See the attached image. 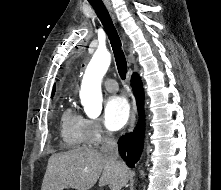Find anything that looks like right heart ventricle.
<instances>
[{
    "label": "right heart ventricle",
    "mask_w": 221,
    "mask_h": 190,
    "mask_svg": "<svg viewBox=\"0 0 221 190\" xmlns=\"http://www.w3.org/2000/svg\"><path fill=\"white\" fill-rule=\"evenodd\" d=\"M84 118L72 108H67L61 117V136L71 148H80L84 142Z\"/></svg>",
    "instance_id": "right-heart-ventricle-1"
}]
</instances>
